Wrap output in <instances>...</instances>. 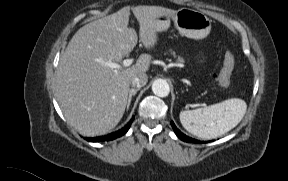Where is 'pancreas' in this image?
<instances>
[{
	"instance_id": "cf45deb5",
	"label": "pancreas",
	"mask_w": 288,
	"mask_h": 181,
	"mask_svg": "<svg viewBox=\"0 0 288 181\" xmlns=\"http://www.w3.org/2000/svg\"><path fill=\"white\" fill-rule=\"evenodd\" d=\"M171 53L175 56V52H172V51H171ZM178 61H179V62H183L184 59H183L182 57H178Z\"/></svg>"
}]
</instances>
